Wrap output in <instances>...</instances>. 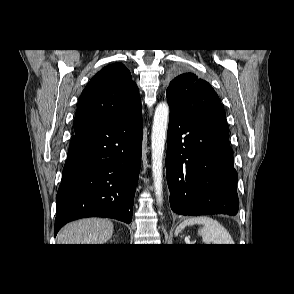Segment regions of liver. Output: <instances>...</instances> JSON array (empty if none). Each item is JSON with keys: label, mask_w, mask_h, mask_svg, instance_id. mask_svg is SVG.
<instances>
[{"label": "liver", "mask_w": 294, "mask_h": 294, "mask_svg": "<svg viewBox=\"0 0 294 294\" xmlns=\"http://www.w3.org/2000/svg\"><path fill=\"white\" fill-rule=\"evenodd\" d=\"M108 219L87 218L67 224L57 236L58 244H104L113 235Z\"/></svg>", "instance_id": "6515ba94"}]
</instances>
